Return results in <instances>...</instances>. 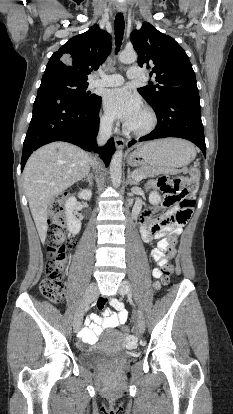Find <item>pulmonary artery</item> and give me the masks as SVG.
<instances>
[{"mask_svg": "<svg viewBox=\"0 0 233 414\" xmlns=\"http://www.w3.org/2000/svg\"><path fill=\"white\" fill-rule=\"evenodd\" d=\"M143 75L142 71L138 67H130L127 71V77L129 79H138ZM124 82V78L120 74H111L106 75L100 73V79H97L93 82L94 86H104V87H115L120 86Z\"/></svg>", "mask_w": 233, "mask_h": 414, "instance_id": "1", "label": "pulmonary artery"}]
</instances>
